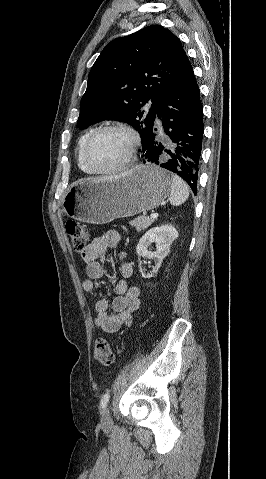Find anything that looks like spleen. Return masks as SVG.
Here are the masks:
<instances>
[{"instance_id":"3e777b00","label":"spleen","mask_w":266,"mask_h":479,"mask_svg":"<svg viewBox=\"0 0 266 479\" xmlns=\"http://www.w3.org/2000/svg\"><path fill=\"white\" fill-rule=\"evenodd\" d=\"M189 197V189L186 183L178 176L174 175L170 193V203L173 206L183 204Z\"/></svg>"}]
</instances>
